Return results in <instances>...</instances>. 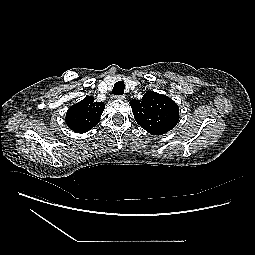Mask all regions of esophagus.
Instances as JSON below:
<instances>
[{"instance_id":"obj_1","label":"esophagus","mask_w":255,"mask_h":255,"mask_svg":"<svg viewBox=\"0 0 255 255\" xmlns=\"http://www.w3.org/2000/svg\"><path fill=\"white\" fill-rule=\"evenodd\" d=\"M116 98L119 100H125V95H119V96H116Z\"/></svg>"}]
</instances>
